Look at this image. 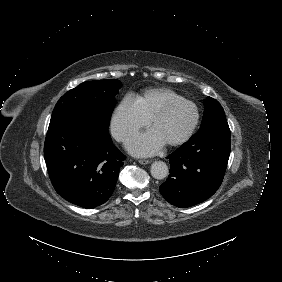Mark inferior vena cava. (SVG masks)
I'll return each mask as SVG.
<instances>
[{
	"mask_svg": "<svg viewBox=\"0 0 282 282\" xmlns=\"http://www.w3.org/2000/svg\"><path fill=\"white\" fill-rule=\"evenodd\" d=\"M112 135H113V137L118 141H122V139L124 138V135H125V133H122V132H115V131H113L112 132Z\"/></svg>",
	"mask_w": 282,
	"mask_h": 282,
	"instance_id": "obj_1",
	"label": "inferior vena cava"
}]
</instances>
